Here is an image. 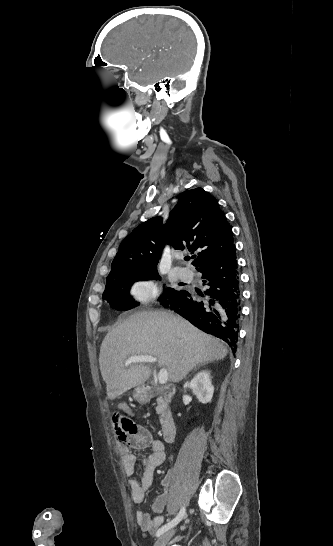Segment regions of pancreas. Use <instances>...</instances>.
Wrapping results in <instances>:
<instances>
[{
    "label": "pancreas",
    "mask_w": 333,
    "mask_h": 546,
    "mask_svg": "<svg viewBox=\"0 0 333 546\" xmlns=\"http://www.w3.org/2000/svg\"><path fill=\"white\" fill-rule=\"evenodd\" d=\"M161 402H162V399H161V398H159V399L157 400V403H158V404H160ZM156 411H157V413H159V412H160V409H159V407H158V408L156 409Z\"/></svg>",
    "instance_id": "1"
}]
</instances>
